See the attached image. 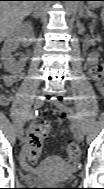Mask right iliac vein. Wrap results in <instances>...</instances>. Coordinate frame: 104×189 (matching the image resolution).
Returning <instances> with one entry per match:
<instances>
[{
	"mask_svg": "<svg viewBox=\"0 0 104 189\" xmlns=\"http://www.w3.org/2000/svg\"><path fill=\"white\" fill-rule=\"evenodd\" d=\"M43 104V96H38L36 99H35V102H34V108H40ZM24 136V130L23 129H20L17 133V137L19 140H24L23 138Z\"/></svg>",
	"mask_w": 104,
	"mask_h": 189,
	"instance_id": "1",
	"label": "right iliac vein"
}]
</instances>
